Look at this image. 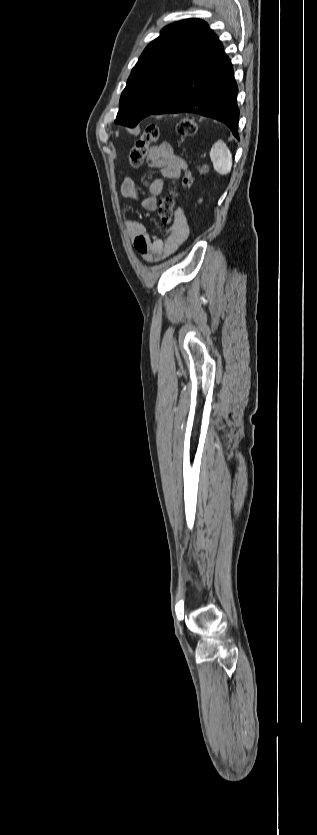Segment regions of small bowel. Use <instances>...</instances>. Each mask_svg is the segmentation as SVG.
Wrapping results in <instances>:
<instances>
[{"label": "small bowel", "instance_id": "obj_1", "mask_svg": "<svg viewBox=\"0 0 317 835\" xmlns=\"http://www.w3.org/2000/svg\"><path fill=\"white\" fill-rule=\"evenodd\" d=\"M146 162L149 167L158 169L160 172L159 176L153 177L148 183L149 196L141 198L138 184L127 177L121 182L120 192L126 199L139 201L145 210L155 211L158 205V196L164 189L165 180L178 179L187 168V163L166 143L151 147L147 153ZM125 226L135 250L147 263L159 262L176 252L189 234V227L182 211L178 212L176 220L164 240L152 236L139 221L126 220Z\"/></svg>", "mask_w": 317, "mask_h": 835}]
</instances>
